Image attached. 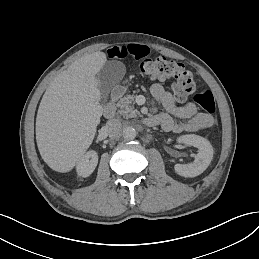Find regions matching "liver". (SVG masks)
Listing matches in <instances>:
<instances>
[{"label":"liver","mask_w":259,"mask_h":259,"mask_svg":"<svg viewBox=\"0 0 259 259\" xmlns=\"http://www.w3.org/2000/svg\"><path fill=\"white\" fill-rule=\"evenodd\" d=\"M104 52L84 54L50 82L36 117V141L42 159L58 172L70 171L91 145L103 108L95 75Z\"/></svg>","instance_id":"6515ba94"}]
</instances>
